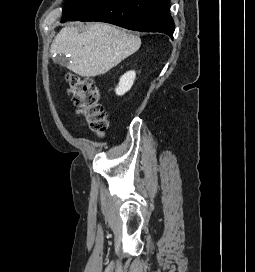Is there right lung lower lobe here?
<instances>
[{
  "label": "right lung lower lobe",
  "mask_w": 255,
  "mask_h": 272,
  "mask_svg": "<svg viewBox=\"0 0 255 272\" xmlns=\"http://www.w3.org/2000/svg\"><path fill=\"white\" fill-rule=\"evenodd\" d=\"M170 0H90L66 21H100L129 30L173 36Z\"/></svg>",
  "instance_id": "right-lung-lower-lobe-1"
}]
</instances>
